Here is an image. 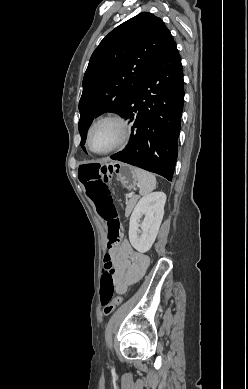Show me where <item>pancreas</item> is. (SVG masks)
<instances>
[{
    "mask_svg": "<svg viewBox=\"0 0 248 389\" xmlns=\"http://www.w3.org/2000/svg\"><path fill=\"white\" fill-rule=\"evenodd\" d=\"M138 196H133L127 203V206H126V209H125V215H129L132 211V209L134 208L137 200H138Z\"/></svg>",
    "mask_w": 248,
    "mask_h": 389,
    "instance_id": "1",
    "label": "pancreas"
}]
</instances>
